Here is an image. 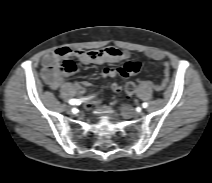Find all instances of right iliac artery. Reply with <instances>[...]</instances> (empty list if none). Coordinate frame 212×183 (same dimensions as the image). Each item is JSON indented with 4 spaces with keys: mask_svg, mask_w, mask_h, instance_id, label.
I'll return each mask as SVG.
<instances>
[{
    "mask_svg": "<svg viewBox=\"0 0 212 183\" xmlns=\"http://www.w3.org/2000/svg\"><path fill=\"white\" fill-rule=\"evenodd\" d=\"M81 102H82V100H80V99H71V100H69V104L70 105H79V104H81Z\"/></svg>",
    "mask_w": 212,
    "mask_h": 183,
    "instance_id": "right-iliac-artery-1",
    "label": "right iliac artery"
}]
</instances>
